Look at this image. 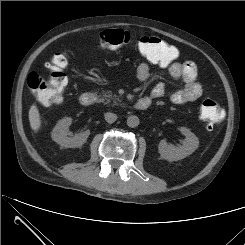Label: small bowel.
<instances>
[{"instance_id":"c3829d8e","label":"small bowel","mask_w":245,"mask_h":245,"mask_svg":"<svg viewBox=\"0 0 245 245\" xmlns=\"http://www.w3.org/2000/svg\"><path fill=\"white\" fill-rule=\"evenodd\" d=\"M169 75L175 80H182L183 86L173 90L169 99L172 103L185 105L199 99L203 94V87L198 80V69L194 62H173L167 67ZM137 79L146 82L150 77V67L147 63H141L137 67ZM166 92L163 83H158L151 91V98H160Z\"/></svg>"}]
</instances>
